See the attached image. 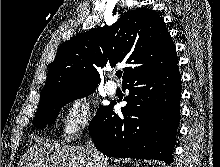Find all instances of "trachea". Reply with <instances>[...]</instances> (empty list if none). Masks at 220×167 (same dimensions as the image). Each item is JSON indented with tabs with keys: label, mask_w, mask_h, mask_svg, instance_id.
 <instances>
[{
	"label": "trachea",
	"mask_w": 220,
	"mask_h": 167,
	"mask_svg": "<svg viewBox=\"0 0 220 167\" xmlns=\"http://www.w3.org/2000/svg\"><path fill=\"white\" fill-rule=\"evenodd\" d=\"M116 76L120 79L121 76H122V73H121V72H118V73L116 74Z\"/></svg>",
	"instance_id": "trachea-1"
}]
</instances>
